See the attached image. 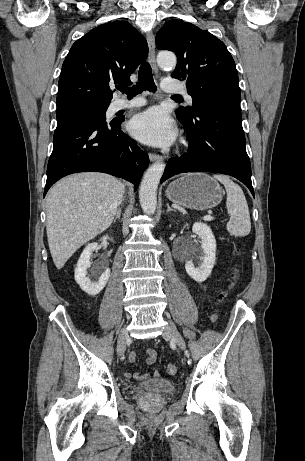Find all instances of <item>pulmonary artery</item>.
I'll list each match as a JSON object with an SVG mask.
<instances>
[{
  "instance_id": "pulmonary-artery-1",
  "label": "pulmonary artery",
  "mask_w": 305,
  "mask_h": 461,
  "mask_svg": "<svg viewBox=\"0 0 305 461\" xmlns=\"http://www.w3.org/2000/svg\"><path fill=\"white\" fill-rule=\"evenodd\" d=\"M162 88L164 89V91L169 92V93H183L185 94L187 101L189 103H192V97L186 93V90L183 87V85L176 83L174 79L172 78L164 79L162 83ZM144 103H145V100L142 98H134L130 101H126L123 99H116L113 102L112 107L114 111H118L122 109L138 107V106L143 105Z\"/></svg>"
}]
</instances>
